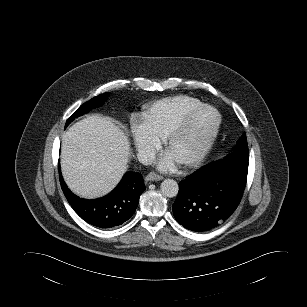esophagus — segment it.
<instances>
[{
  "label": "esophagus",
  "mask_w": 307,
  "mask_h": 307,
  "mask_svg": "<svg viewBox=\"0 0 307 307\" xmlns=\"http://www.w3.org/2000/svg\"><path fill=\"white\" fill-rule=\"evenodd\" d=\"M163 179V176L158 175L154 172L149 173L146 177L145 180L146 181H160Z\"/></svg>",
  "instance_id": "1"
}]
</instances>
